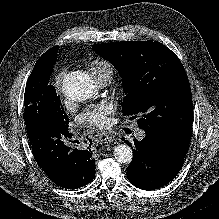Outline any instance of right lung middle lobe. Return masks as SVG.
<instances>
[{
    "label": "right lung middle lobe",
    "mask_w": 219,
    "mask_h": 219,
    "mask_svg": "<svg viewBox=\"0 0 219 219\" xmlns=\"http://www.w3.org/2000/svg\"><path fill=\"white\" fill-rule=\"evenodd\" d=\"M56 52L44 53L36 62L26 84L24 94V114L26 124L40 117L56 120L62 127H69V118L61 104L55 87L49 83L53 65L56 62Z\"/></svg>",
    "instance_id": "obj_1"
}]
</instances>
